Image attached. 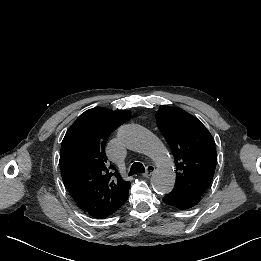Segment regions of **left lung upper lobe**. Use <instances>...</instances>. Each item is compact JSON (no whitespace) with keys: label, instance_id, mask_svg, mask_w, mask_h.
Instances as JSON below:
<instances>
[{"label":"left lung upper lobe","instance_id":"1","mask_svg":"<svg viewBox=\"0 0 261 261\" xmlns=\"http://www.w3.org/2000/svg\"><path fill=\"white\" fill-rule=\"evenodd\" d=\"M156 119L174 155V188L200 198L213 179L217 163L211 134L197 118L180 108L161 105Z\"/></svg>","mask_w":261,"mask_h":261}]
</instances>
